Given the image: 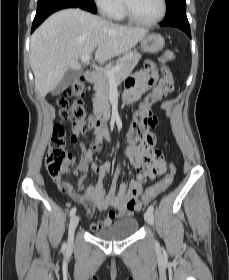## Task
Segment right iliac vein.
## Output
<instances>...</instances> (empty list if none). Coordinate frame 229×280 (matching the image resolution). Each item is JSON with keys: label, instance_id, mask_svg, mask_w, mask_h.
<instances>
[{"label": "right iliac vein", "instance_id": "1", "mask_svg": "<svg viewBox=\"0 0 229 280\" xmlns=\"http://www.w3.org/2000/svg\"><path fill=\"white\" fill-rule=\"evenodd\" d=\"M78 223H79V216L78 215H73L71 220H70L69 230H68V233H69L68 243L69 244L73 243L74 232H75L76 227L78 226Z\"/></svg>", "mask_w": 229, "mask_h": 280}]
</instances>
